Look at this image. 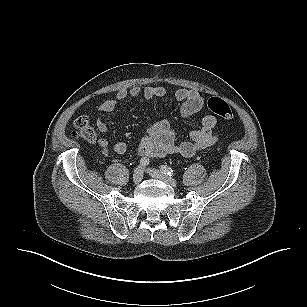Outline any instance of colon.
Instances as JSON below:
<instances>
[{
  "mask_svg": "<svg viewBox=\"0 0 307 307\" xmlns=\"http://www.w3.org/2000/svg\"><path fill=\"white\" fill-rule=\"evenodd\" d=\"M207 108L214 114L220 116L224 120H232L233 112L230 106L223 99L218 97H212L207 101ZM74 137L88 141L94 142L96 140V133L88 118L81 116L77 118L74 122Z\"/></svg>",
  "mask_w": 307,
  "mask_h": 307,
  "instance_id": "1",
  "label": "colon"
}]
</instances>
